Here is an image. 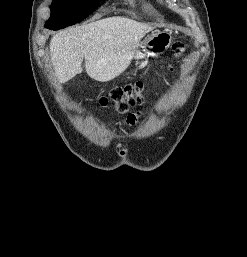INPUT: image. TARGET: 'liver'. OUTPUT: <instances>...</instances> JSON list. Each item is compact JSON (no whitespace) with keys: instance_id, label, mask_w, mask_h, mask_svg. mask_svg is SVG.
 <instances>
[{"instance_id":"1","label":"liver","mask_w":247,"mask_h":257,"mask_svg":"<svg viewBox=\"0 0 247 257\" xmlns=\"http://www.w3.org/2000/svg\"><path fill=\"white\" fill-rule=\"evenodd\" d=\"M153 27L126 17H108L56 33L50 41L51 61L60 83L86 73L100 82L123 73L140 40Z\"/></svg>"}]
</instances>
